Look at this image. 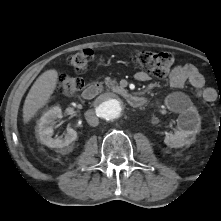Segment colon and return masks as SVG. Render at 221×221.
<instances>
[{
    "label": "colon",
    "instance_id": "5ec220e1",
    "mask_svg": "<svg viewBox=\"0 0 221 221\" xmlns=\"http://www.w3.org/2000/svg\"><path fill=\"white\" fill-rule=\"evenodd\" d=\"M93 56L94 54L91 49H83L70 56L69 64L76 72L82 73L88 69ZM131 60L142 72L158 78L165 77L173 65V56L165 52L138 51L131 55ZM83 86L84 81L80 77L64 74L58 80L59 90L66 96H73Z\"/></svg>",
    "mask_w": 221,
    "mask_h": 221
}]
</instances>
